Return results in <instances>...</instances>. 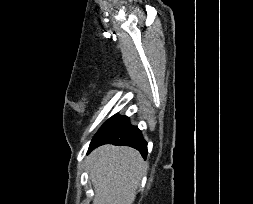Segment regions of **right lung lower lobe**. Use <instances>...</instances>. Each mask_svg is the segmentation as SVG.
Returning <instances> with one entry per match:
<instances>
[{
	"label": "right lung lower lobe",
	"mask_w": 253,
	"mask_h": 204,
	"mask_svg": "<svg viewBox=\"0 0 253 204\" xmlns=\"http://www.w3.org/2000/svg\"><path fill=\"white\" fill-rule=\"evenodd\" d=\"M103 144L130 146L137 149L144 159L147 157V143L141 131L132 126L126 116L114 115L107 120L94 136L88 151Z\"/></svg>",
	"instance_id": "obj_1"
}]
</instances>
